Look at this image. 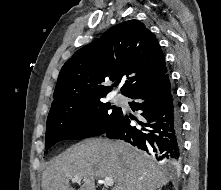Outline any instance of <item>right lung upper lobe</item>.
Segmentation results:
<instances>
[{"instance_id": "obj_1", "label": "right lung upper lobe", "mask_w": 221, "mask_h": 190, "mask_svg": "<svg viewBox=\"0 0 221 190\" xmlns=\"http://www.w3.org/2000/svg\"><path fill=\"white\" fill-rule=\"evenodd\" d=\"M167 73L160 45L145 25L128 20L77 50L63 65L51 108L104 98L122 80L124 96ZM106 81L114 82L104 86Z\"/></svg>"}]
</instances>
